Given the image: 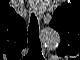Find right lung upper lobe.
Listing matches in <instances>:
<instances>
[{
    "mask_svg": "<svg viewBox=\"0 0 80 60\" xmlns=\"http://www.w3.org/2000/svg\"><path fill=\"white\" fill-rule=\"evenodd\" d=\"M9 14L4 34H6L7 41L21 51L26 46L25 22L12 8H9Z\"/></svg>",
    "mask_w": 80,
    "mask_h": 60,
    "instance_id": "cb5924a9",
    "label": "right lung upper lobe"
}]
</instances>
